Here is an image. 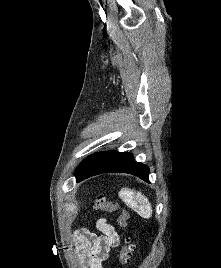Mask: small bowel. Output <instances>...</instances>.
I'll return each mask as SVG.
<instances>
[{
	"label": "small bowel",
	"instance_id": "c3829d8e",
	"mask_svg": "<svg viewBox=\"0 0 221 268\" xmlns=\"http://www.w3.org/2000/svg\"><path fill=\"white\" fill-rule=\"evenodd\" d=\"M97 229L100 235L87 228L78 229L73 234L78 258L84 268H103L111 249L119 244L118 233L105 219L97 222Z\"/></svg>",
	"mask_w": 221,
	"mask_h": 268
}]
</instances>
